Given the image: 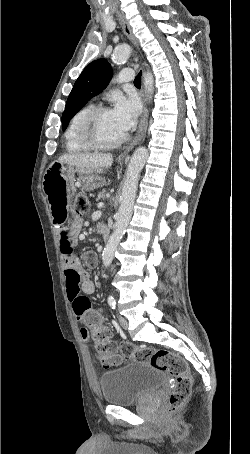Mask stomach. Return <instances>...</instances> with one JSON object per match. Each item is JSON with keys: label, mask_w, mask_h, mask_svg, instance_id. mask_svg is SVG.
<instances>
[{"label": "stomach", "mask_w": 250, "mask_h": 454, "mask_svg": "<svg viewBox=\"0 0 250 454\" xmlns=\"http://www.w3.org/2000/svg\"><path fill=\"white\" fill-rule=\"evenodd\" d=\"M75 171L80 174L86 189H94L101 185V178L97 175L101 172L100 168L65 167L62 163L55 162L48 167L44 176H74Z\"/></svg>", "instance_id": "obj_1"}]
</instances>
